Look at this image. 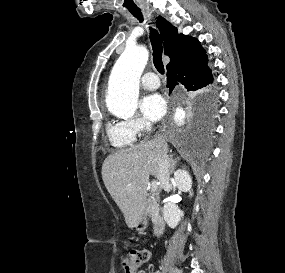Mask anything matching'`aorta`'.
Wrapping results in <instances>:
<instances>
[{
  "label": "aorta",
  "mask_w": 285,
  "mask_h": 273,
  "mask_svg": "<svg viewBox=\"0 0 285 273\" xmlns=\"http://www.w3.org/2000/svg\"><path fill=\"white\" fill-rule=\"evenodd\" d=\"M148 51L141 46L127 47L116 61L109 77L106 105L118 116L128 118L135 114L141 74L148 61ZM185 113L177 109L175 120L183 122Z\"/></svg>",
  "instance_id": "1"
}]
</instances>
